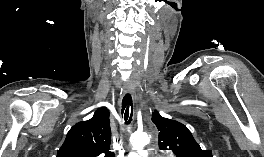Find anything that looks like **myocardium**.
Listing matches in <instances>:
<instances>
[{"mask_svg": "<svg viewBox=\"0 0 264 157\" xmlns=\"http://www.w3.org/2000/svg\"><path fill=\"white\" fill-rule=\"evenodd\" d=\"M158 157H171V156H166V155H163V156H158Z\"/></svg>", "mask_w": 264, "mask_h": 157, "instance_id": "myocardium-1", "label": "myocardium"}]
</instances>
